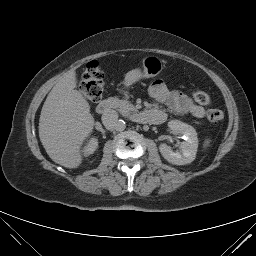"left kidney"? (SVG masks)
<instances>
[{"mask_svg":"<svg viewBox=\"0 0 256 256\" xmlns=\"http://www.w3.org/2000/svg\"><path fill=\"white\" fill-rule=\"evenodd\" d=\"M168 126L172 131L182 134L185 137V141L180 145V152H173L168 145L160 144L159 150L161 155L174 165L190 164L194 161L198 148L196 130L192 126L178 120L170 121Z\"/></svg>","mask_w":256,"mask_h":256,"instance_id":"5707ae66","label":"left kidney"}]
</instances>
